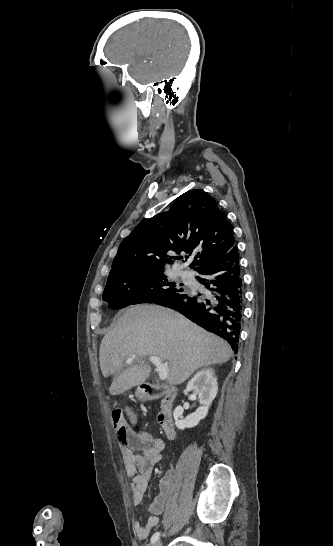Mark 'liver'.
<instances>
[{
	"instance_id": "liver-1",
	"label": "liver",
	"mask_w": 333,
	"mask_h": 546,
	"mask_svg": "<svg viewBox=\"0 0 333 546\" xmlns=\"http://www.w3.org/2000/svg\"><path fill=\"white\" fill-rule=\"evenodd\" d=\"M230 346L181 314L158 305H137L125 311L117 324L104 336L99 361L104 377L119 372L127 357L157 356L169 363L167 382L178 385L196 370L227 362ZM151 367L139 361L112 382L109 392L118 395L143 384Z\"/></svg>"
}]
</instances>
